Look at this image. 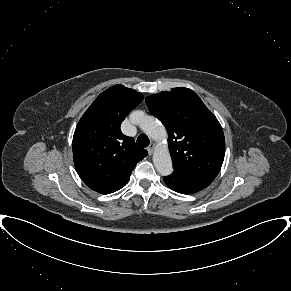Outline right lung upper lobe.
I'll use <instances>...</instances> for the list:
<instances>
[{
    "mask_svg": "<svg viewBox=\"0 0 291 291\" xmlns=\"http://www.w3.org/2000/svg\"><path fill=\"white\" fill-rule=\"evenodd\" d=\"M142 100L141 93L114 85L80 119L73 136V160L90 189L102 194L121 189L136 164L148 155L120 130L121 122Z\"/></svg>",
    "mask_w": 291,
    "mask_h": 291,
    "instance_id": "1",
    "label": "right lung upper lobe"
}]
</instances>
